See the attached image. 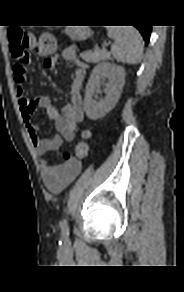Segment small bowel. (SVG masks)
Returning <instances> with one entry per match:
<instances>
[{
    "instance_id": "1",
    "label": "small bowel",
    "mask_w": 184,
    "mask_h": 292,
    "mask_svg": "<svg viewBox=\"0 0 184 292\" xmlns=\"http://www.w3.org/2000/svg\"><path fill=\"white\" fill-rule=\"evenodd\" d=\"M61 59L65 63H71L75 66L70 84V101L62 110L54 106L47 96H39L33 100L28 99L25 93L26 66L22 67L17 63L13 67L20 113L29 138L39 156L47 152L58 151L64 142H72L75 138L77 125L84 116L81 90L86 76L87 65L77 57L76 47L69 46L64 49L61 57L53 55L46 59L44 66L48 69H55ZM39 108L45 109L48 117L55 122L56 134L51 138H40L38 127L32 122V116ZM41 171L47 189L53 193H59L78 176L81 171V163L77 159L66 163L42 160Z\"/></svg>"
}]
</instances>
